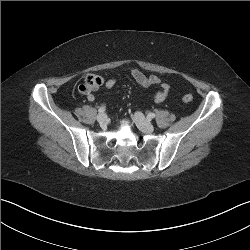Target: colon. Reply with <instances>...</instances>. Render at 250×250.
<instances>
[{
	"label": "colon",
	"instance_id": "colon-1",
	"mask_svg": "<svg viewBox=\"0 0 250 250\" xmlns=\"http://www.w3.org/2000/svg\"><path fill=\"white\" fill-rule=\"evenodd\" d=\"M102 84V79L94 74H89L85 77L84 82L79 86V91L84 93L88 90L99 87ZM193 100V96L191 94H186L183 96L182 101L185 103H189Z\"/></svg>",
	"mask_w": 250,
	"mask_h": 250
}]
</instances>
